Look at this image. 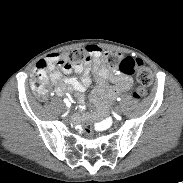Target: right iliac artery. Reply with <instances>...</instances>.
I'll return each mask as SVG.
<instances>
[{
  "instance_id": "obj_1",
  "label": "right iliac artery",
  "mask_w": 183,
  "mask_h": 183,
  "mask_svg": "<svg viewBox=\"0 0 183 183\" xmlns=\"http://www.w3.org/2000/svg\"><path fill=\"white\" fill-rule=\"evenodd\" d=\"M64 102L68 105L69 104V100L67 98L64 99Z\"/></svg>"
}]
</instances>
